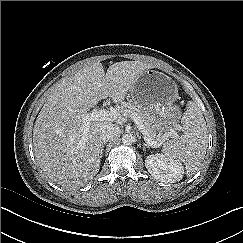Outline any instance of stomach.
<instances>
[{
  "mask_svg": "<svg viewBox=\"0 0 243 243\" xmlns=\"http://www.w3.org/2000/svg\"><path fill=\"white\" fill-rule=\"evenodd\" d=\"M130 96L138 108L146 111L159 134L168 133L178 124L181 116L176 104L178 88L166 74L147 69L135 82Z\"/></svg>",
  "mask_w": 243,
  "mask_h": 243,
  "instance_id": "stomach-1",
  "label": "stomach"
}]
</instances>
